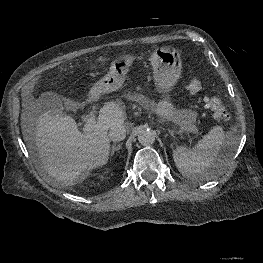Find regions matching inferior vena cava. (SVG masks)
Listing matches in <instances>:
<instances>
[{"label": "inferior vena cava", "mask_w": 263, "mask_h": 263, "mask_svg": "<svg viewBox=\"0 0 263 263\" xmlns=\"http://www.w3.org/2000/svg\"><path fill=\"white\" fill-rule=\"evenodd\" d=\"M126 137V130L124 126H114L109 131V138L113 142H119L124 140Z\"/></svg>", "instance_id": "1"}]
</instances>
